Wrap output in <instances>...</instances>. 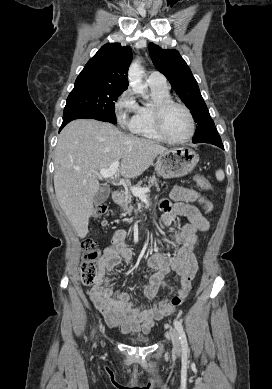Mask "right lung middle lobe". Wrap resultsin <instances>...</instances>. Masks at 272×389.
Instances as JSON below:
<instances>
[{"instance_id": "obj_1", "label": "right lung middle lobe", "mask_w": 272, "mask_h": 389, "mask_svg": "<svg viewBox=\"0 0 272 389\" xmlns=\"http://www.w3.org/2000/svg\"><path fill=\"white\" fill-rule=\"evenodd\" d=\"M125 89L94 84H75L67 98L63 116L80 114L116 124L115 101Z\"/></svg>"}]
</instances>
